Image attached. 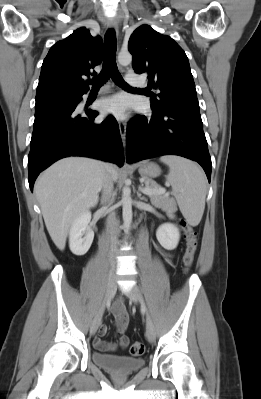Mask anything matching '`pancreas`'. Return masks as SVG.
I'll use <instances>...</instances> for the list:
<instances>
[{
    "label": "pancreas",
    "instance_id": "pancreas-1",
    "mask_svg": "<svg viewBox=\"0 0 261 399\" xmlns=\"http://www.w3.org/2000/svg\"><path fill=\"white\" fill-rule=\"evenodd\" d=\"M147 187L153 191V194L149 195L151 201L156 206H163L165 204H174V200L168 197V194L161 193V187L153 180L146 179Z\"/></svg>",
    "mask_w": 261,
    "mask_h": 399
}]
</instances>
